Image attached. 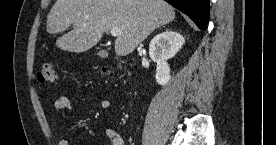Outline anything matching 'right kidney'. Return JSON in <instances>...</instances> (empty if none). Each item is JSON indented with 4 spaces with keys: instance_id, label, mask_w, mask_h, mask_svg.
I'll list each match as a JSON object with an SVG mask.
<instances>
[{
    "instance_id": "1",
    "label": "right kidney",
    "mask_w": 276,
    "mask_h": 145,
    "mask_svg": "<svg viewBox=\"0 0 276 145\" xmlns=\"http://www.w3.org/2000/svg\"><path fill=\"white\" fill-rule=\"evenodd\" d=\"M185 39L179 33L165 30L156 35L149 44V56L157 63L155 79L165 86L170 81V67L167 63L182 48Z\"/></svg>"
}]
</instances>
